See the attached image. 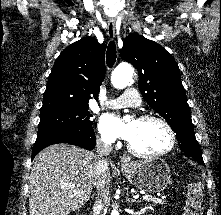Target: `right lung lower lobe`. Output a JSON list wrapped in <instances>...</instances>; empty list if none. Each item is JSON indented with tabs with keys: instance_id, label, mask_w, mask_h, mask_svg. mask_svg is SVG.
<instances>
[{
	"instance_id": "98d812e1",
	"label": "right lung lower lobe",
	"mask_w": 221,
	"mask_h": 215,
	"mask_svg": "<svg viewBox=\"0 0 221 215\" xmlns=\"http://www.w3.org/2000/svg\"><path fill=\"white\" fill-rule=\"evenodd\" d=\"M57 143H68L87 150H92L96 145L95 133L91 127L81 130L68 129L38 135L33 147L32 159L45 147Z\"/></svg>"
}]
</instances>
